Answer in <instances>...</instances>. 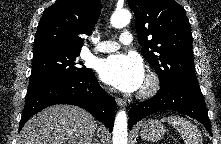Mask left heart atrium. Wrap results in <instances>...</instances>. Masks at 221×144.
I'll return each mask as SVG.
<instances>
[{"instance_id":"1","label":"left heart atrium","mask_w":221,"mask_h":144,"mask_svg":"<svg viewBox=\"0 0 221 144\" xmlns=\"http://www.w3.org/2000/svg\"><path fill=\"white\" fill-rule=\"evenodd\" d=\"M99 74L102 81L124 92L136 91L144 82L143 65L135 55L108 56L101 61Z\"/></svg>"}]
</instances>
